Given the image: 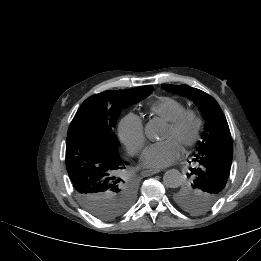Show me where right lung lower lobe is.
<instances>
[{
  "mask_svg": "<svg viewBox=\"0 0 261 261\" xmlns=\"http://www.w3.org/2000/svg\"><path fill=\"white\" fill-rule=\"evenodd\" d=\"M65 161L75 193L79 196L98 185L108 184L125 168L117 150L86 133L67 136Z\"/></svg>",
  "mask_w": 261,
  "mask_h": 261,
  "instance_id": "98d812e1",
  "label": "right lung lower lobe"
}]
</instances>
